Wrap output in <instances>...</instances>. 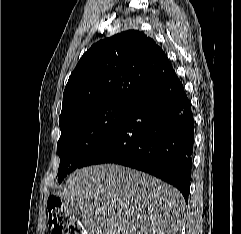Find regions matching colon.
Instances as JSON below:
<instances>
[{
	"label": "colon",
	"mask_w": 241,
	"mask_h": 234,
	"mask_svg": "<svg viewBox=\"0 0 241 234\" xmlns=\"http://www.w3.org/2000/svg\"><path fill=\"white\" fill-rule=\"evenodd\" d=\"M48 222L53 234H84L81 223L56 196L48 201Z\"/></svg>",
	"instance_id": "5ec220e1"
}]
</instances>
